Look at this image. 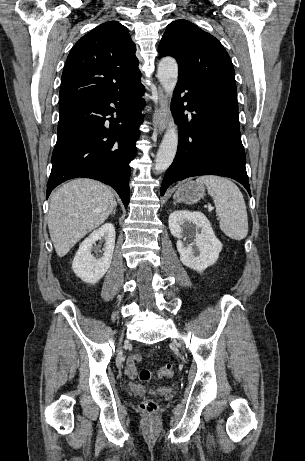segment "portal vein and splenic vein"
<instances>
[{
  "mask_svg": "<svg viewBox=\"0 0 305 461\" xmlns=\"http://www.w3.org/2000/svg\"><path fill=\"white\" fill-rule=\"evenodd\" d=\"M209 209H213L211 206H209Z\"/></svg>",
  "mask_w": 305,
  "mask_h": 461,
  "instance_id": "1",
  "label": "portal vein and splenic vein"
}]
</instances>
